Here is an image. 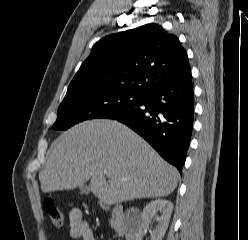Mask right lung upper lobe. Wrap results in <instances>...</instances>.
<instances>
[{
	"label": "right lung upper lobe",
	"mask_w": 248,
	"mask_h": 240,
	"mask_svg": "<svg viewBox=\"0 0 248 240\" xmlns=\"http://www.w3.org/2000/svg\"><path fill=\"white\" fill-rule=\"evenodd\" d=\"M190 71L187 52L177 36L151 23L94 44L68 90L102 88L145 94Z\"/></svg>",
	"instance_id": "cb5924a9"
}]
</instances>
